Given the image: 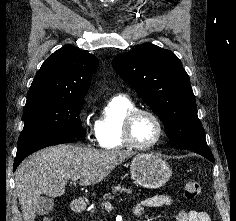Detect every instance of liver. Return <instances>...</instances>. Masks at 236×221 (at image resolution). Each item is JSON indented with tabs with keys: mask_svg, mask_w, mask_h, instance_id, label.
<instances>
[{
	"mask_svg": "<svg viewBox=\"0 0 236 221\" xmlns=\"http://www.w3.org/2000/svg\"><path fill=\"white\" fill-rule=\"evenodd\" d=\"M132 155L128 150H96L64 144L34 153L15 173L24 221H35L42 194L53 198L63 195L68 180L74 177L80 179L81 186L97 184Z\"/></svg>",
	"mask_w": 236,
	"mask_h": 221,
	"instance_id": "1",
	"label": "liver"
}]
</instances>
